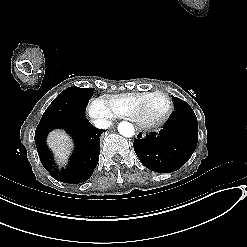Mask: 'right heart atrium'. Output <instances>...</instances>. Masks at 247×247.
<instances>
[{"label":"right heart atrium","instance_id":"d8ad5b80","mask_svg":"<svg viewBox=\"0 0 247 247\" xmlns=\"http://www.w3.org/2000/svg\"><path fill=\"white\" fill-rule=\"evenodd\" d=\"M89 114L94 122L102 123L111 119V114L105 103L100 99H93L89 105Z\"/></svg>","mask_w":247,"mask_h":247}]
</instances>
